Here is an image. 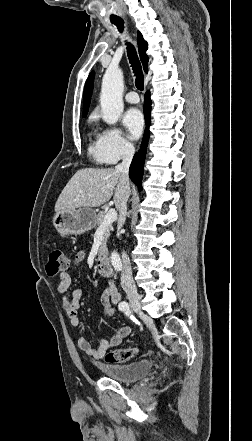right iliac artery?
Wrapping results in <instances>:
<instances>
[{
	"label": "right iliac artery",
	"mask_w": 252,
	"mask_h": 441,
	"mask_svg": "<svg viewBox=\"0 0 252 441\" xmlns=\"http://www.w3.org/2000/svg\"><path fill=\"white\" fill-rule=\"evenodd\" d=\"M127 305H128V303H126V302H121L120 304H119V310H121V311H125V309H126V307H127Z\"/></svg>",
	"instance_id": "obj_1"
}]
</instances>
